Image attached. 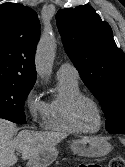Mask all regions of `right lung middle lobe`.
<instances>
[{
    "label": "right lung middle lobe",
    "mask_w": 125,
    "mask_h": 167,
    "mask_svg": "<svg viewBox=\"0 0 125 167\" xmlns=\"http://www.w3.org/2000/svg\"><path fill=\"white\" fill-rule=\"evenodd\" d=\"M32 87L0 83V113L18 119H26L24 103Z\"/></svg>",
    "instance_id": "right-lung-middle-lobe-1"
}]
</instances>
